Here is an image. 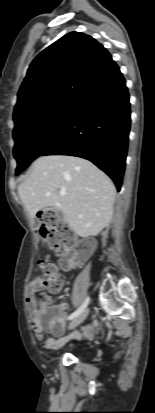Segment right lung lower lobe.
<instances>
[{"label":"right lung lower lobe","mask_w":155,"mask_h":413,"mask_svg":"<svg viewBox=\"0 0 155 413\" xmlns=\"http://www.w3.org/2000/svg\"><path fill=\"white\" fill-rule=\"evenodd\" d=\"M130 103L120 70L77 104L63 133L40 156L70 155L93 162L119 191L130 131Z\"/></svg>","instance_id":"1"}]
</instances>
